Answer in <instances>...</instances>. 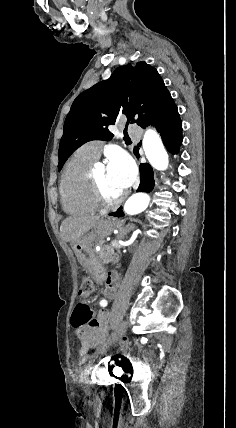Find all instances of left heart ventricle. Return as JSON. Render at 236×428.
I'll return each mask as SVG.
<instances>
[{
    "label": "left heart ventricle",
    "instance_id": "1",
    "mask_svg": "<svg viewBox=\"0 0 236 428\" xmlns=\"http://www.w3.org/2000/svg\"><path fill=\"white\" fill-rule=\"evenodd\" d=\"M95 176L101 182L105 193L111 198H117L126 191V189L121 186L119 181L110 175L108 168H103L97 171Z\"/></svg>",
    "mask_w": 236,
    "mask_h": 428
}]
</instances>
